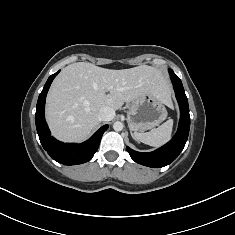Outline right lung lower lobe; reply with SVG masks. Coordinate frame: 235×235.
<instances>
[{"label": "right lung lower lobe", "mask_w": 235, "mask_h": 235, "mask_svg": "<svg viewBox=\"0 0 235 235\" xmlns=\"http://www.w3.org/2000/svg\"><path fill=\"white\" fill-rule=\"evenodd\" d=\"M58 73L59 71L48 78L39 95L35 114L36 128L43 148L52 159L64 165H78L92 159L94 153L99 147L103 133L108 128V125L102 126L89 140L81 144H64L51 137V133L44 116L45 99L48 89Z\"/></svg>", "instance_id": "98d812e1"}]
</instances>
